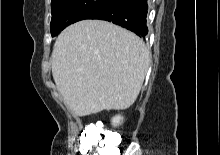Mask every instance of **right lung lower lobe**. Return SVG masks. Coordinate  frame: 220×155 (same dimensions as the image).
Wrapping results in <instances>:
<instances>
[{
  "instance_id": "obj_1",
  "label": "right lung lower lobe",
  "mask_w": 220,
  "mask_h": 155,
  "mask_svg": "<svg viewBox=\"0 0 220 155\" xmlns=\"http://www.w3.org/2000/svg\"><path fill=\"white\" fill-rule=\"evenodd\" d=\"M146 0H118L116 3L99 10L86 19H100L122 26L138 36L145 37L148 33L146 26Z\"/></svg>"
}]
</instances>
